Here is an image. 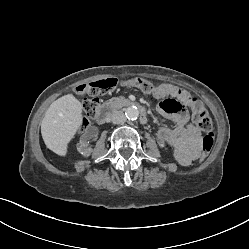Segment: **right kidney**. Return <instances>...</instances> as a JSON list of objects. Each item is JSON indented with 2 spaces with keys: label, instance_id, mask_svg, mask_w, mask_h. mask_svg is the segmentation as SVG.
I'll use <instances>...</instances> for the list:
<instances>
[{
  "label": "right kidney",
  "instance_id": "right-kidney-1",
  "mask_svg": "<svg viewBox=\"0 0 249 249\" xmlns=\"http://www.w3.org/2000/svg\"><path fill=\"white\" fill-rule=\"evenodd\" d=\"M98 135V129L96 127H91L87 133L82 135L80 142L78 143L77 150L84 157L90 156L92 150L88 147L95 141V137Z\"/></svg>",
  "mask_w": 249,
  "mask_h": 249
}]
</instances>
